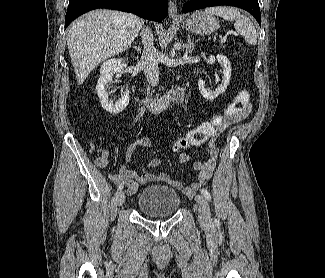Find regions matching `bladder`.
<instances>
[{
  "instance_id": "bladder-1",
  "label": "bladder",
  "mask_w": 325,
  "mask_h": 278,
  "mask_svg": "<svg viewBox=\"0 0 325 278\" xmlns=\"http://www.w3.org/2000/svg\"><path fill=\"white\" fill-rule=\"evenodd\" d=\"M180 205L179 193L174 188L161 184L145 186L137 199L138 210L146 216L153 217L174 215Z\"/></svg>"
}]
</instances>
